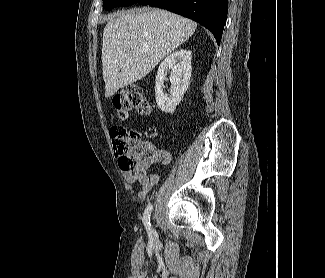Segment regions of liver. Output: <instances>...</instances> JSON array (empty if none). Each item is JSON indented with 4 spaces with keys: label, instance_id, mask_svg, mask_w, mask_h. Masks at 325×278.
<instances>
[{
    "label": "liver",
    "instance_id": "6515ba94",
    "mask_svg": "<svg viewBox=\"0 0 325 278\" xmlns=\"http://www.w3.org/2000/svg\"><path fill=\"white\" fill-rule=\"evenodd\" d=\"M196 27L194 21L162 9H133L110 19L102 40L105 97L145 77Z\"/></svg>",
    "mask_w": 325,
    "mask_h": 278
}]
</instances>
